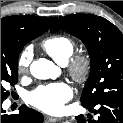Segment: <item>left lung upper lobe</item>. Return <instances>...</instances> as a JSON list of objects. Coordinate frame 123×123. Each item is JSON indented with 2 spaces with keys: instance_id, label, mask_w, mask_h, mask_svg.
Wrapping results in <instances>:
<instances>
[{
  "instance_id": "1",
  "label": "left lung upper lobe",
  "mask_w": 123,
  "mask_h": 123,
  "mask_svg": "<svg viewBox=\"0 0 123 123\" xmlns=\"http://www.w3.org/2000/svg\"><path fill=\"white\" fill-rule=\"evenodd\" d=\"M81 39L91 58L90 75L80 98L94 106L106 98L123 97V35L103 17L92 14L60 18L51 28Z\"/></svg>"
}]
</instances>
